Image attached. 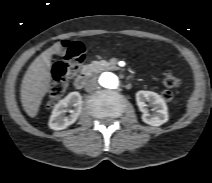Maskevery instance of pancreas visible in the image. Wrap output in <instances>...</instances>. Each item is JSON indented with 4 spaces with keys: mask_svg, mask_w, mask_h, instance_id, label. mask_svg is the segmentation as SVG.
Listing matches in <instances>:
<instances>
[{
    "mask_svg": "<svg viewBox=\"0 0 212 183\" xmlns=\"http://www.w3.org/2000/svg\"><path fill=\"white\" fill-rule=\"evenodd\" d=\"M116 60L105 61H93L91 64L87 65L88 73H99L106 70H118L119 68L115 65Z\"/></svg>",
    "mask_w": 212,
    "mask_h": 183,
    "instance_id": "1",
    "label": "pancreas"
}]
</instances>
